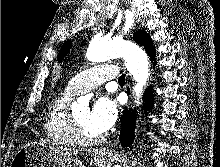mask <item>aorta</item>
<instances>
[{"label": "aorta", "instance_id": "762f6f07", "mask_svg": "<svg viewBox=\"0 0 220 167\" xmlns=\"http://www.w3.org/2000/svg\"><path fill=\"white\" fill-rule=\"evenodd\" d=\"M86 57L92 63L104 62L120 57L123 58L127 70L136 82L133 91L135 103H139L149 78L148 57L139 46L121 38L106 40L101 37H95L89 44ZM87 102V97H80L77 102L73 103V108Z\"/></svg>", "mask_w": 220, "mask_h": 167}]
</instances>
